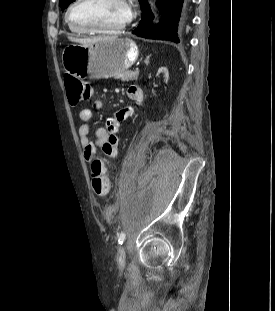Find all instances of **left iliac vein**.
<instances>
[{"label":"left iliac vein","instance_id":"obj_1","mask_svg":"<svg viewBox=\"0 0 275 311\" xmlns=\"http://www.w3.org/2000/svg\"><path fill=\"white\" fill-rule=\"evenodd\" d=\"M125 258V248L123 246H120L117 251V263L123 266L125 264Z\"/></svg>","mask_w":275,"mask_h":311}]
</instances>
